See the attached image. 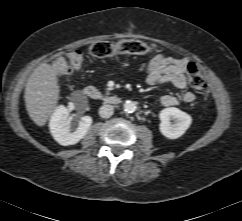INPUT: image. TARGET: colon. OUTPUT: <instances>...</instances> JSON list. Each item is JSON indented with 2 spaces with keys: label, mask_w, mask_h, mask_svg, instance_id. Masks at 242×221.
I'll list each match as a JSON object with an SVG mask.
<instances>
[{
  "label": "colon",
  "mask_w": 242,
  "mask_h": 221,
  "mask_svg": "<svg viewBox=\"0 0 242 221\" xmlns=\"http://www.w3.org/2000/svg\"><path fill=\"white\" fill-rule=\"evenodd\" d=\"M156 49L154 44H148L139 39H129L118 43L96 42L89 50L92 57L104 59L123 54H145ZM84 53L73 50L58 57L53 62V70L58 75H67L81 68L84 61ZM187 79L192 88L199 93L206 92V83L199 67L195 63H189L186 68Z\"/></svg>",
  "instance_id": "1"
}]
</instances>
